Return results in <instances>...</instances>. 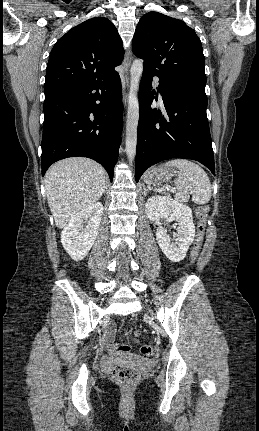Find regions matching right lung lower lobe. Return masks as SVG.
<instances>
[{"label": "right lung lower lobe", "mask_w": 259, "mask_h": 431, "mask_svg": "<svg viewBox=\"0 0 259 431\" xmlns=\"http://www.w3.org/2000/svg\"><path fill=\"white\" fill-rule=\"evenodd\" d=\"M123 128L119 74L45 93L42 175L54 162L74 156L100 163L112 181Z\"/></svg>", "instance_id": "right-lung-lower-lobe-1"}]
</instances>
